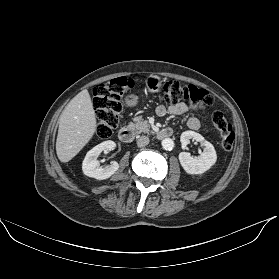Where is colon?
<instances>
[{"mask_svg": "<svg viewBox=\"0 0 279 279\" xmlns=\"http://www.w3.org/2000/svg\"><path fill=\"white\" fill-rule=\"evenodd\" d=\"M133 88V81L127 77L111 79L94 88L93 104L97 116L96 137L109 138L120 123L122 110L121 99ZM163 100L173 106L184 101L212 105V95L191 85H183L177 81H169L164 85ZM212 123L219 132L220 144L223 149L231 150L235 142V133L225 115L220 111L212 114Z\"/></svg>", "mask_w": 279, "mask_h": 279, "instance_id": "5ec220e1", "label": "colon"}]
</instances>
